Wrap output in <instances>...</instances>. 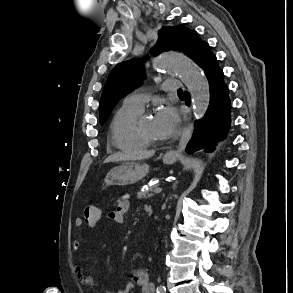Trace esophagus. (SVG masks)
<instances>
[{
    "mask_svg": "<svg viewBox=\"0 0 293 293\" xmlns=\"http://www.w3.org/2000/svg\"><path fill=\"white\" fill-rule=\"evenodd\" d=\"M187 132H188V128L186 127L184 130V134L181 137L180 145H179L178 149L170 151L168 153V155H179L185 149Z\"/></svg>",
    "mask_w": 293,
    "mask_h": 293,
    "instance_id": "esophagus-1",
    "label": "esophagus"
}]
</instances>
